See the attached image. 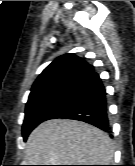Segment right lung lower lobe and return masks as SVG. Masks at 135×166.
<instances>
[{
	"mask_svg": "<svg viewBox=\"0 0 135 166\" xmlns=\"http://www.w3.org/2000/svg\"><path fill=\"white\" fill-rule=\"evenodd\" d=\"M68 88L72 98L65 111L56 118L83 121L110 132L106 90L99 75L92 72Z\"/></svg>",
	"mask_w": 135,
	"mask_h": 166,
	"instance_id": "1",
	"label": "right lung lower lobe"
}]
</instances>
